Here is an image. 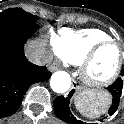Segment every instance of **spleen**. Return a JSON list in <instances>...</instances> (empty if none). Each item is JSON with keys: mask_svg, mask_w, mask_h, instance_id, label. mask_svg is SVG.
Masks as SVG:
<instances>
[{"mask_svg": "<svg viewBox=\"0 0 124 124\" xmlns=\"http://www.w3.org/2000/svg\"><path fill=\"white\" fill-rule=\"evenodd\" d=\"M106 95V94H105ZM110 102L109 97L100 96L99 99L93 100L87 95H77L75 97L76 108L89 118L98 117L104 112Z\"/></svg>", "mask_w": 124, "mask_h": 124, "instance_id": "1", "label": "spleen"}]
</instances>
